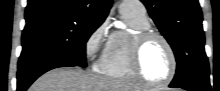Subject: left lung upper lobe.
Segmentation results:
<instances>
[{
  "mask_svg": "<svg viewBox=\"0 0 220 91\" xmlns=\"http://www.w3.org/2000/svg\"><path fill=\"white\" fill-rule=\"evenodd\" d=\"M141 1L174 51L177 70L170 85L209 83V64L204 51L202 12L198 0Z\"/></svg>",
  "mask_w": 220,
  "mask_h": 91,
  "instance_id": "obj_1",
  "label": "left lung upper lobe"
}]
</instances>
